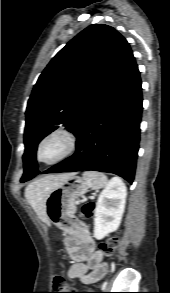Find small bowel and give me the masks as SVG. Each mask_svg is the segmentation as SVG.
I'll use <instances>...</instances> for the list:
<instances>
[{"label":"small bowel","instance_id":"small-bowel-1","mask_svg":"<svg viewBox=\"0 0 170 293\" xmlns=\"http://www.w3.org/2000/svg\"><path fill=\"white\" fill-rule=\"evenodd\" d=\"M68 254L76 261L68 270L71 280L90 285L100 281L108 272V265L99 251L94 250L93 243L86 244L76 235L66 237Z\"/></svg>","mask_w":170,"mask_h":293}]
</instances>
